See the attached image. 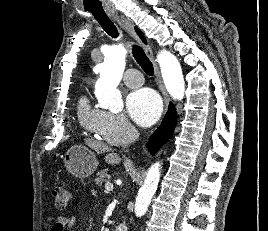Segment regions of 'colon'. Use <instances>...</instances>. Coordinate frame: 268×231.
<instances>
[{
  "label": "colon",
  "mask_w": 268,
  "mask_h": 231,
  "mask_svg": "<svg viewBox=\"0 0 268 231\" xmlns=\"http://www.w3.org/2000/svg\"><path fill=\"white\" fill-rule=\"evenodd\" d=\"M55 204L60 209H65L70 201V193L61 186H55L51 189Z\"/></svg>",
  "instance_id": "5ec220e1"
}]
</instances>
